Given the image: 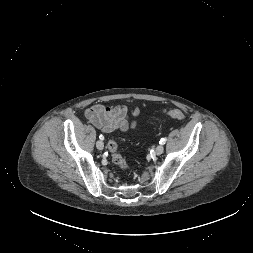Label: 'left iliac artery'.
Masks as SVG:
<instances>
[{"label":"left iliac artery","mask_w":253,"mask_h":253,"mask_svg":"<svg viewBox=\"0 0 253 253\" xmlns=\"http://www.w3.org/2000/svg\"><path fill=\"white\" fill-rule=\"evenodd\" d=\"M166 143V138H162L161 140H160V144H165Z\"/></svg>","instance_id":"left-iliac-artery-1"}]
</instances>
